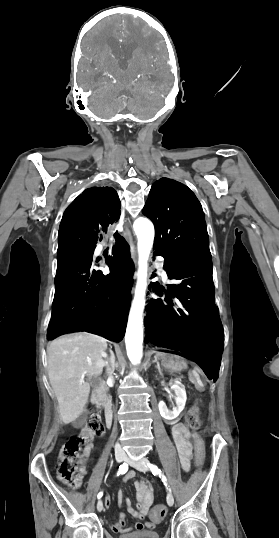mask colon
Wrapping results in <instances>:
<instances>
[{"instance_id": "5ec220e1", "label": "colon", "mask_w": 279, "mask_h": 538, "mask_svg": "<svg viewBox=\"0 0 279 538\" xmlns=\"http://www.w3.org/2000/svg\"><path fill=\"white\" fill-rule=\"evenodd\" d=\"M186 423L193 431L200 427L199 410L196 406L186 414ZM103 432L104 425L100 416L93 414L82 430L77 435L70 437L62 446L58 458L57 473L58 477L68 486L76 488L81 484L84 473L76 463V459L79 457L82 447L89 444ZM193 444L196 463L202 467L205 462V445L203 439L197 433L193 434ZM165 514L166 507L157 505L151 511V519L158 522L163 519Z\"/></svg>"}]
</instances>
